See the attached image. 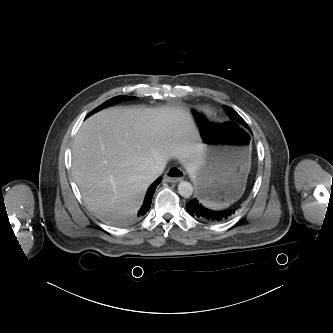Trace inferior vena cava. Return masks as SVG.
Here are the masks:
<instances>
[{
  "label": "inferior vena cava",
  "mask_w": 333,
  "mask_h": 333,
  "mask_svg": "<svg viewBox=\"0 0 333 333\" xmlns=\"http://www.w3.org/2000/svg\"><path fill=\"white\" fill-rule=\"evenodd\" d=\"M165 166H166V161H161L158 164L149 167L145 177L147 179L154 181L157 177H159L162 174Z\"/></svg>",
  "instance_id": "obj_1"
}]
</instances>
